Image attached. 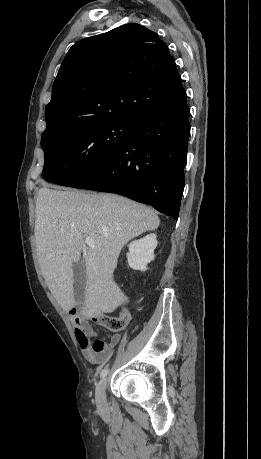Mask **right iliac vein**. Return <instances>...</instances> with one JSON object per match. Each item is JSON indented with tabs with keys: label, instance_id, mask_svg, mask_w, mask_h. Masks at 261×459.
<instances>
[{
	"label": "right iliac vein",
	"instance_id": "obj_1",
	"mask_svg": "<svg viewBox=\"0 0 261 459\" xmlns=\"http://www.w3.org/2000/svg\"><path fill=\"white\" fill-rule=\"evenodd\" d=\"M106 386H107V378L103 377L96 387L95 398L96 404L99 409H105L106 407Z\"/></svg>",
	"mask_w": 261,
	"mask_h": 459
}]
</instances>
